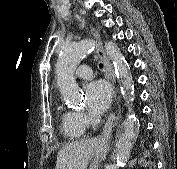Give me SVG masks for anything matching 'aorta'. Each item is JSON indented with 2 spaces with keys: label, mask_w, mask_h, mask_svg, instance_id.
Here are the masks:
<instances>
[{
  "label": "aorta",
  "mask_w": 177,
  "mask_h": 169,
  "mask_svg": "<svg viewBox=\"0 0 177 169\" xmlns=\"http://www.w3.org/2000/svg\"><path fill=\"white\" fill-rule=\"evenodd\" d=\"M93 49L94 42L92 40H84L62 48L56 63L57 86L63 101L68 105L78 106L81 104L82 96L74 78V71ZM105 51L113 60L115 73L121 79L124 87V99L128 104L126 119L116 137L117 164L124 166L130 157L138 132V121L131 107L134 100V85L129 65L117 46L112 42L105 43Z\"/></svg>",
  "instance_id": "obj_1"
}]
</instances>
